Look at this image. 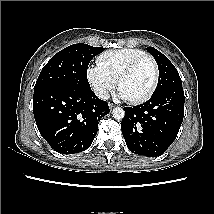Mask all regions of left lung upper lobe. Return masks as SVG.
I'll list each match as a JSON object with an SVG mask.
<instances>
[{"label":"left lung upper lobe","mask_w":214,"mask_h":214,"mask_svg":"<svg viewBox=\"0 0 214 214\" xmlns=\"http://www.w3.org/2000/svg\"><path fill=\"white\" fill-rule=\"evenodd\" d=\"M147 51L155 58L159 68L158 85L153 94L172 86H182L181 78L170 60L153 47H147Z\"/></svg>","instance_id":"obj_1"}]
</instances>
